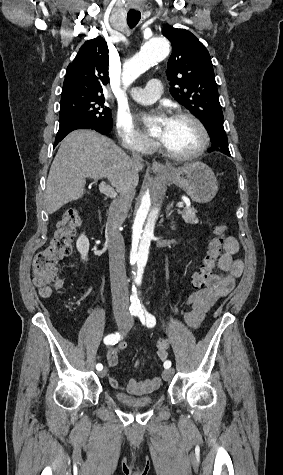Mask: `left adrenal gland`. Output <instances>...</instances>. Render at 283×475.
I'll return each instance as SVG.
<instances>
[{
	"mask_svg": "<svg viewBox=\"0 0 283 475\" xmlns=\"http://www.w3.org/2000/svg\"><path fill=\"white\" fill-rule=\"evenodd\" d=\"M171 208H173V204H169V206H167L166 208V214H172L173 210H171ZM171 210V212H170ZM172 226H170V228H172V230H176L174 224L175 222H171Z\"/></svg>",
	"mask_w": 283,
	"mask_h": 475,
	"instance_id": "left-adrenal-gland-1",
	"label": "left adrenal gland"
}]
</instances>
